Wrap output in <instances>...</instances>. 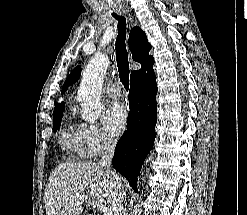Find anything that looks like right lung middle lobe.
I'll use <instances>...</instances> for the list:
<instances>
[{
	"label": "right lung middle lobe",
	"mask_w": 247,
	"mask_h": 215,
	"mask_svg": "<svg viewBox=\"0 0 247 215\" xmlns=\"http://www.w3.org/2000/svg\"><path fill=\"white\" fill-rule=\"evenodd\" d=\"M62 113L63 112H60V113H57V114L53 115V130H54V132H56L57 129H59V127H60Z\"/></svg>",
	"instance_id": "dd1d6c3e"
}]
</instances>
